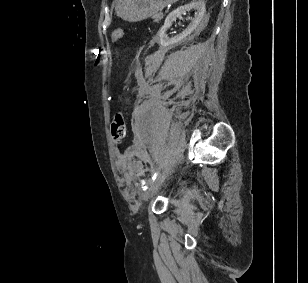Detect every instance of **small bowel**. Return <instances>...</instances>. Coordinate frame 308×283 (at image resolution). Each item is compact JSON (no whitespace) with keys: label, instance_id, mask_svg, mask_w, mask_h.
I'll return each instance as SVG.
<instances>
[{"label":"small bowel","instance_id":"c3829d8e","mask_svg":"<svg viewBox=\"0 0 308 283\" xmlns=\"http://www.w3.org/2000/svg\"><path fill=\"white\" fill-rule=\"evenodd\" d=\"M118 169L120 170V172H122L124 174V176L129 179L131 177V172L128 171L126 163L124 160L120 159L118 161Z\"/></svg>","mask_w":308,"mask_h":283}]
</instances>
